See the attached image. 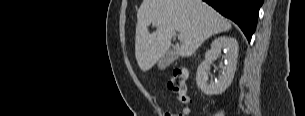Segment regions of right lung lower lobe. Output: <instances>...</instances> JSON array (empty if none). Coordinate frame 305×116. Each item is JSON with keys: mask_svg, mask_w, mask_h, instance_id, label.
<instances>
[{"mask_svg": "<svg viewBox=\"0 0 305 116\" xmlns=\"http://www.w3.org/2000/svg\"><path fill=\"white\" fill-rule=\"evenodd\" d=\"M223 16L234 21L248 41L256 29L259 8L263 0H203Z\"/></svg>", "mask_w": 305, "mask_h": 116, "instance_id": "obj_1", "label": "right lung lower lobe"}]
</instances>
